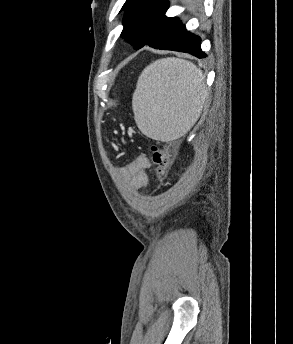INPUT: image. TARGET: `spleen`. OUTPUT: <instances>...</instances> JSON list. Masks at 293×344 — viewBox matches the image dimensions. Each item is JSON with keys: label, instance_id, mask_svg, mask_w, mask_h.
I'll return each mask as SVG.
<instances>
[{"label": "spleen", "instance_id": "1", "mask_svg": "<svg viewBox=\"0 0 293 344\" xmlns=\"http://www.w3.org/2000/svg\"><path fill=\"white\" fill-rule=\"evenodd\" d=\"M202 71L190 61L162 58L147 66L133 94L141 132L155 140L183 136L200 116L206 98Z\"/></svg>", "mask_w": 293, "mask_h": 344}]
</instances>
